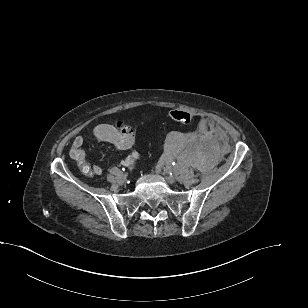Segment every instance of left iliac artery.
<instances>
[{
    "label": "left iliac artery",
    "mask_w": 308,
    "mask_h": 308,
    "mask_svg": "<svg viewBox=\"0 0 308 308\" xmlns=\"http://www.w3.org/2000/svg\"><path fill=\"white\" fill-rule=\"evenodd\" d=\"M172 165H173V166H175V165H176V163H175V162H173V163H172ZM169 174H170V175H172V173H171V172H170Z\"/></svg>",
    "instance_id": "left-iliac-artery-1"
}]
</instances>
